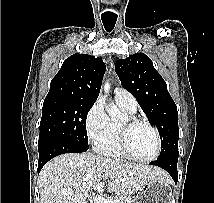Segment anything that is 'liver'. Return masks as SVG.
<instances>
[{
	"mask_svg": "<svg viewBox=\"0 0 214 203\" xmlns=\"http://www.w3.org/2000/svg\"><path fill=\"white\" fill-rule=\"evenodd\" d=\"M166 178L157 167L132 164L92 153H69L49 161L39 176L40 203H87L92 187L106 182L107 193L128 196L137 193L150 180ZM72 190L63 194V190Z\"/></svg>",
	"mask_w": 214,
	"mask_h": 203,
	"instance_id": "obj_1",
	"label": "liver"
}]
</instances>
